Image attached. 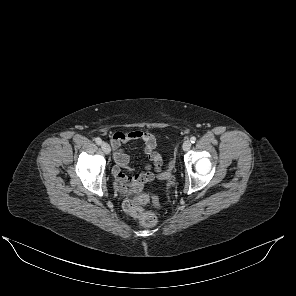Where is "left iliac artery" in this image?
<instances>
[{
  "label": "left iliac artery",
  "instance_id": "44dca946",
  "mask_svg": "<svg viewBox=\"0 0 296 296\" xmlns=\"http://www.w3.org/2000/svg\"><path fill=\"white\" fill-rule=\"evenodd\" d=\"M190 141H191V143H195V142H196V137H194V136L191 137V138H190Z\"/></svg>",
  "mask_w": 296,
  "mask_h": 296
}]
</instances>
